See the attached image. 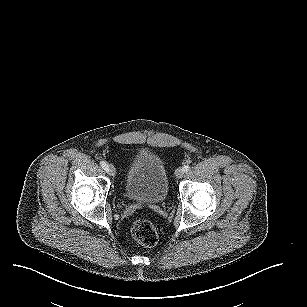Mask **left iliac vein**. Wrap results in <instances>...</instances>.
<instances>
[{"mask_svg": "<svg viewBox=\"0 0 307 307\" xmlns=\"http://www.w3.org/2000/svg\"><path fill=\"white\" fill-rule=\"evenodd\" d=\"M183 174H184V170H183L182 167H179V168L175 171V176H176L177 179L182 178Z\"/></svg>", "mask_w": 307, "mask_h": 307, "instance_id": "obj_1", "label": "left iliac vein"}]
</instances>
